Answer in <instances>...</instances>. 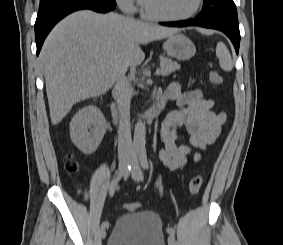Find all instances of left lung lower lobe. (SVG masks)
<instances>
[{"label": "left lung lower lobe", "instance_id": "0a47b994", "mask_svg": "<svg viewBox=\"0 0 283 245\" xmlns=\"http://www.w3.org/2000/svg\"><path fill=\"white\" fill-rule=\"evenodd\" d=\"M165 26H174V27H184V26H201L205 28H212L217 29L224 32L232 41L236 53L238 54L239 45H240V32L238 29L230 28L226 25L218 24V23H210V22H201L195 19L185 20V21H178V22H166L161 23Z\"/></svg>", "mask_w": 283, "mask_h": 245}]
</instances>
